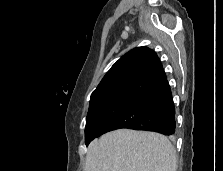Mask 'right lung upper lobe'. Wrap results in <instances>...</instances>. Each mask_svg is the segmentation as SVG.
I'll return each mask as SVG.
<instances>
[{"mask_svg": "<svg viewBox=\"0 0 223 171\" xmlns=\"http://www.w3.org/2000/svg\"><path fill=\"white\" fill-rule=\"evenodd\" d=\"M165 78L156 53L147 47H137L111 67L92 93L90 102L117 94L137 96Z\"/></svg>", "mask_w": 223, "mask_h": 171, "instance_id": "cb5924a9", "label": "right lung upper lobe"}]
</instances>
